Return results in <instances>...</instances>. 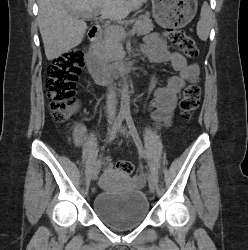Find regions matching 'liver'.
Returning <instances> with one entry per match:
<instances>
[{"instance_id": "6515ba94", "label": "liver", "mask_w": 248, "mask_h": 250, "mask_svg": "<svg viewBox=\"0 0 248 250\" xmlns=\"http://www.w3.org/2000/svg\"><path fill=\"white\" fill-rule=\"evenodd\" d=\"M147 0H38V26L46 58L51 61L78 46L87 25L81 14L101 12L107 19L121 20Z\"/></svg>"}]
</instances>
